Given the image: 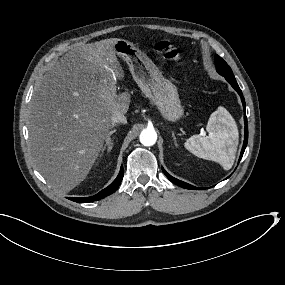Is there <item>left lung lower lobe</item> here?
Here are the masks:
<instances>
[{"instance_id": "1", "label": "left lung lower lobe", "mask_w": 285, "mask_h": 285, "mask_svg": "<svg viewBox=\"0 0 285 285\" xmlns=\"http://www.w3.org/2000/svg\"><path fill=\"white\" fill-rule=\"evenodd\" d=\"M231 85L232 87L238 92V94L240 95L241 97V100H242V103H243V107H244V121H245V137H244V144H243V147H242V151H241V155H240V158H239V161L241 160L242 156H243V153L245 151V148L247 146V141H248V126H247V118H246V114H245V100H244V97H243V94H242V91L240 90L235 78L234 79H229L227 80ZM164 174L167 176V178L172 181L173 183H175L176 185L178 186H181L183 188H186V189H191V190H195V189H198V190H201V189H205V188H199V187H195V186H192L188 183H185L183 181H180L174 177H172L170 174H168L164 168H162Z\"/></svg>"}]
</instances>
